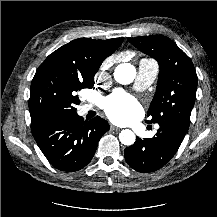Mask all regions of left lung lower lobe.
<instances>
[{
	"instance_id": "0a47b994",
	"label": "left lung lower lobe",
	"mask_w": 217,
	"mask_h": 217,
	"mask_svg": "<svg viewBox=\"0 0 217 217\" xmlns=\"http://www.w3.org/2000/svg\"><path fill=\"white\" fill-rule=\"evenodd\" d=\"M156 136L137 138L124 150L125 160L136 171L153 172L167 164L179 149L188 129L173 122H163Z\"/></svg>"
}]
</instances>
